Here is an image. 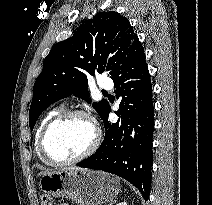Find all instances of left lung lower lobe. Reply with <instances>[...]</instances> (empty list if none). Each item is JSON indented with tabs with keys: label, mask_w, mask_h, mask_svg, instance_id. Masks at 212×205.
Wrapping results in <instances>:
<instances>
[{
	"label": "left lung lower lobe",
	"mask_w": 212,
	"mask_h": 205,
	"mask_svg": "<svg viewBox=\"0 0 212 205\" xmlns=\"http://www.w3.org/2000/svg\"><path fill=\"white\" fill-rule=\"evenodd\" d=\"M116 97L122 96L116 112L121 118L109 123L107 107L101 119L106 130L95 154L77 164L79 167L118 175L139 189L148 200L151 185L154 107L152 84L145 53L138 37L112 77Z\"/></svg>",
	"instance_id": "obj_1"
}]
</instances>
